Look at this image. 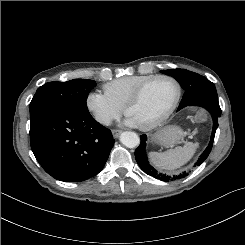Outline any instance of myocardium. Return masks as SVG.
I'll use <instances>...</instances> for the list:
<instances>
[{
  "mask_svg": "<svg viewBox=\"0 0 245 245\" xmlns=\"http://www.w3.org/2000/svg\"><path fill=\"white\" fill-rule=\"evenodd\" d=\"M157 80H169L171 82H173L176 86L177 89V93H176V97L174 99L173 104L171 105V107L169 108V110L159 119L155 120L154 122L144 125V126H139L141 130L144 131H149V130H153L157 127H159L160 125H162L164 122H166L171 116L172 114L175 112V110L177 109L179 102L181 100V96H182V86L181 83L179 82L178 79H176L173 76L170 75H156V76H152L151 78L147 79L146 81H144L143 83H141L136 90L132 93V95L128 98V100L126 101L125 105H124V112L127 114L128 109L133 106L134 104H136L145 88L151 84L154 81Z\"/></svg>",
  "mask_w": 245,
  "mask_h": 245,
  "instance_id": "myocardium-1",
  "label": "myocardium"
}]
</instances>
